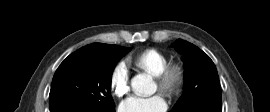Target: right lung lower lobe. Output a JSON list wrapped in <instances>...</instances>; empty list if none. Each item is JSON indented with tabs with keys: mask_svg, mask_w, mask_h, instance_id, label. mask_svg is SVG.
Masks as SVG:
<instances>
[{
	"mask_svg": "<svg viewBox=\"0 0 270 112\" xmlns=\"http://www.w3.org/2000/svg\"><path fill=\"white\" fill-rule=\"evenodd\" d=\"M50 112H115V109L102 110L94 106H62L51 108Z\"/></svg>",
	"mask_w": 270,
	"mask_h": 112,
	"instance_id": "98d812e1",
	"label": "right lung lower lobe"
}]
</instances>
